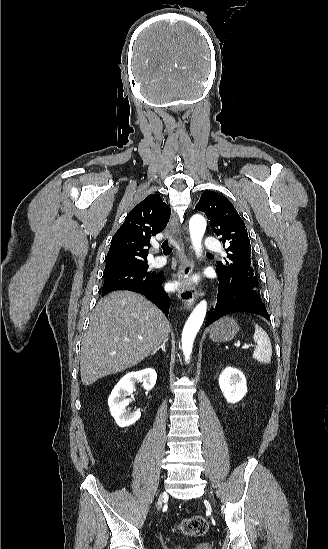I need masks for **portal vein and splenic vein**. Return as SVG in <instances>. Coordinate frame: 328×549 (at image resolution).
I'll use <instances>...</instances> for the list:
<instances>
[{
    "label": "portal vein and splenic vein",
    "instance_id": "portal-vein-and-splenic-vein-1",
    "mask_svg": "<svg viewBox=\"0 0 328 549\" xmlns=\"http://www.w3.org/2000/svg\"><path fill=\"white\" fill-rule=\"evenodd\" d=\"M138 339H143V337H138ZM236 347H240V343H237ZM250 347H254V344H247L242 347V350H250Z\"/></svg>",
    "mask_w": 328,
    "mask_h": 549
}]
</instances>
